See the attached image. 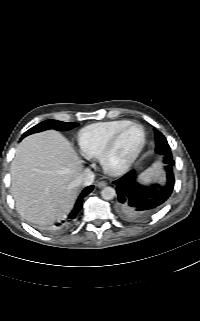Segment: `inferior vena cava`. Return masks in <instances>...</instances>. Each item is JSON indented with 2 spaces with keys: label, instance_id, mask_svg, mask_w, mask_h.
<instances>
[{
  "label": "inferior vena cava",
  "instance_id": "1",
  "mask_svg": "<svg viewBox=\"0 0 200 321\" xmlns=\"http://www.w3.org/2000/svg\"><path fill=\"white\" fill-rule=\"evenodd\" d=\"M94 182V173L90 169H85L75 180L78 187L89 186Z\"/></svg>",
  "mask_w": 200,
  "mask_h": 321
}]
</instances>
